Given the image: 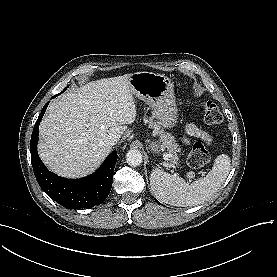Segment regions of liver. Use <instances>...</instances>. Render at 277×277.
I'll return each instance as SVG.
<instances>
[{"instance_id":"1","label":"liver","mask_w":277,"mask_h":277,"mask_svg":"<svg viewBox=\"0 0 277 277\" xmlns=\"http://www.w3.org/2000/svg\"><path fill=\"white\" fill-rule=\"evenodd\" d=\"M132 74L91 81L50 103L40 127L38 153L54 173L79 178L94 172L136 118Z\"/></svg>"}]
</instances>
